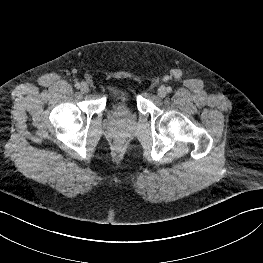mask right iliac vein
<instances>
[{
	"label": "right iliac vein",
	"mask_w": 263,
	"mask_h": 263,
	"mask_svg": "<svg viewBox=\"0 0 263 263\" xmlns=\"http://www.w3.org/2000/svg\"><path fill=\"white\" fill-rule=\"evenodd\" d=\"M81 92H83V93L89 92V86L86 83H82Z\"/></svg>",
	"instance_id": "right-iliac-vein-1"
}]
</instances>
